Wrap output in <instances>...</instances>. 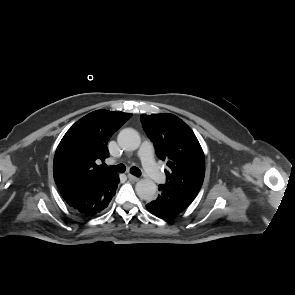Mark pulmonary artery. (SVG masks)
Instances as JSON below:
<instances>
[{
    "label": "pulmonary artery",
    "instance_id": "1",
    "mask_svg": "<svg viewBox=\"0 0 295 295\" xmlns=\"http://www.w3.org/2000/svg\"><path fill=\"white\" fill-rule=\"evenodd\" d=\"M138 156L148 176L156 183H162L165 180L164 174L159 170L153 158V146L150 141L142 143Z\"/></svg>",
    "mask_w": 295,
    "mask_h": 295
}]
</instances>
